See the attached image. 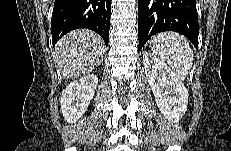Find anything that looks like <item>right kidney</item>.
<instances>
[{"mask_svg":"<svg viewBox=\"0 0 231 151\" xmlns=\"http://www.w3.org/2000/svg\"><path fill=\"white\" fill-rule=\"evenodd\" d=\"M98 84L96 75H87L73 81L62 92L60 105L68 123H75L87 110Z\"/></svg>","mask_w":231,"mask_h":151,"instance_id":"right-kidney-1","label":"right kidney"}]
</instances>
